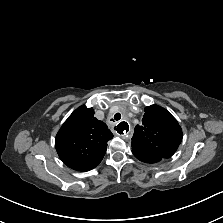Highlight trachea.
Instances as JSON below:
<instances>
[{
  "label": "trachea",
  "mask_w": 223,
  "mask_h": 223,
  "mask_svg": "<svg viewBox=\"0 0 223 223\" xmlns=\"http://www.w3.org/2000/svg\"><path fill=\"white\" fill-rule=\"evenodd\" d=\"M121 119V114L120 113H116L115 115H114V120H116V121H118V120H120ZM112 121H113V119H111ZM115 129V128H114Z\"/></svg>",
  "instance_id": "3493384b"
}]
</instances>
